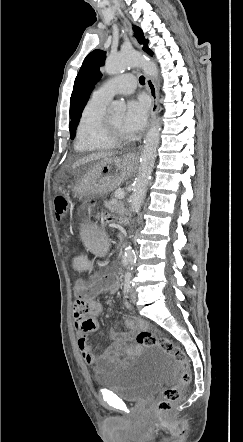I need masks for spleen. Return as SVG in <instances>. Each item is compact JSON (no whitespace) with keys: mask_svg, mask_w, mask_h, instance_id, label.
I'll use <instances>...</instances> for the list:
<instances>
[{"mask_svg":"<svg viewBox=\"0 0 243 442\" xmlns=\"http://www.w3.org/2000/svg\"><path fill=\"white\" fill-rule=\"evenodd\" d=\"M80 237H85V241L89 242L90 248H99L95 250L96 258H107L108 250L104 248H108L109 241L108 239H98L101 237L102 230L101 228H95L94 222H83L82 228L79 230ZM82 268H86L87 274H94L95 268H99L100 261L99 259H82L81 261Z\"/></svg>","mask_w":243,"mask_h":442,"instance_id":"3e777b00","label":"spleen"}]
</instances>
